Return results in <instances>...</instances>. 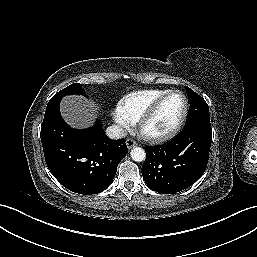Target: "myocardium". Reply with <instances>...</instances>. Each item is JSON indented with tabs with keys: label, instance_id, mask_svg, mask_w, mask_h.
<instances>
[{
	"label": "myocardium",
	"instance_id": "obj_1",
	"mask_svg": "<svg viewBox=\"0 0 257 257\" xmlns=\"http://www.w3.org/2000/svg\"><path fill=\"white\" fill-rule=\"evenodd\" d=\"M173 94H180L184 100V109L178 122L169 131L162 134H151L146 131L147 123L156 114L162 104ZM189 110V102L186 95L180 90H170L160 98H158L152 105L142 114L138 120V130L140 135L147 141L152 143H163L174 138L182 129Z\"/></svg>",
	"mask_w": 257,
	"mask_h": 257
}]
</instances>
